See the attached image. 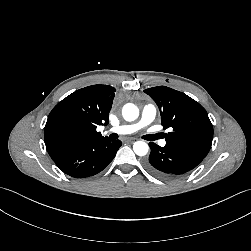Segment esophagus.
Listing matches in <instances>:
<instances>
[{
  "label": "esophagus",
  "mask_w": 251,
  "mask_h": 251,
  "mask_svg": "<svg viewBox=\"0 0 251 251\" xmlns=\"http://www.w3.org/2000/svg\"><path fill=\"white\" fill-rule=\"evenodd\" d=\"M134 141H135L134 138H129V139H127V142H134Z\"/></svg>",
  "instance_id": "1"
}]
</instances>
